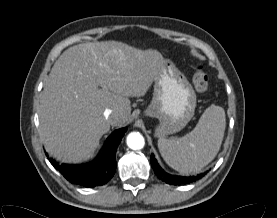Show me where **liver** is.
I'll list each match as a JSON object with an SVG mask.
<instances>
[{
    "instance_id": "1",
    "label": "liver",
    "mask_w": 277,
    "mask_h": 218,
    "mask_svg": "<svg viewBox=\"0 0 277 218\" xmlns=\"http://www.w3.org/2000/svg\"><path fill=\"white\" fill-rule=\"evenodd\" d=\"M156 50L117 41L87 42L65 50L45 82L38 109L40 135L51 156L65 163L89 159L110 126H123L130 97H141L165 65ZM113 116L106 119L104 111Z\"/></svg>"
}]
</instances>
